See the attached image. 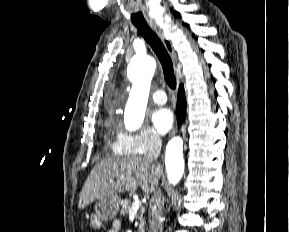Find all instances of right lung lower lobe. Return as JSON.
I'll list each match as a JSON object with an SVG mask.
<instances>
[{
  "mask_svg": "<svg viewBox=\"0 0 289 232\" xmlns=\"http://www.w3.org/2000/svg\"><path fill=\"white\" fill-rule=\"evenodd\" d=\"M176 113H177L178 126H180L186 114L185 92L183 85L179 86Z\"/></svg>",
  "mask_w": 289,
  "mask_h": 232,
  "instance_id": "right-lung-lower-lobe-1",
  "label": "right lung lower lobe"
}]
</instances>
